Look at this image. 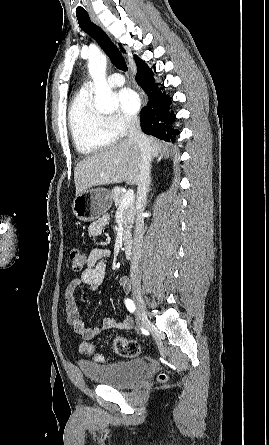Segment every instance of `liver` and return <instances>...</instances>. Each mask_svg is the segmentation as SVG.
Masks as SVG:
<instances>
[{
  "label": "liver",
  "instance_id": "obj_1",
  "mask_svg": "<svg viewBox=\"0 0 269 445\" xmlns=\"http://www.w3.org/2000/svg\"><path fill=\"white\" fill-rule=\"evenodd\" d=\"M150 156L156 157L163 145L153 137H147ZM141 152L135 142L128 139L100 149L80 161L74 171L76 195L94 186L126 183L138 184L141 172Z\"/></svg>",
  "mask_w": 269,
  "mask_h": 445
}]
</instances>
